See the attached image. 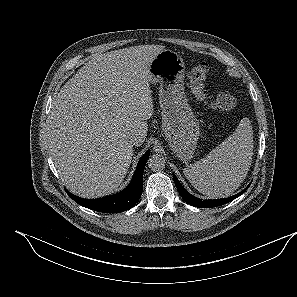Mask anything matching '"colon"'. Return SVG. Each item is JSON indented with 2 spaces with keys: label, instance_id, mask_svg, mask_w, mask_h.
Returning <instances> with one entry per match:
<instances>
[{
  "label": "colon",
  "instance_id": "1",
  "mask_svg": "<svg viewBox=\"0 0 297 297\" xmlns=\"http://www.w3.org/2000/svg\"><path fill=\"white\" fill-rule=\"evenodd\" d=\"M209 71L206 62L195 64L189 72V84L192 94L207 107L219 112H230L237 107V99L229 93L211 95L205 88V80Z\"/></svg>",
  "mask_w": 297,
  "mask_h": 297
}]
</instances>
